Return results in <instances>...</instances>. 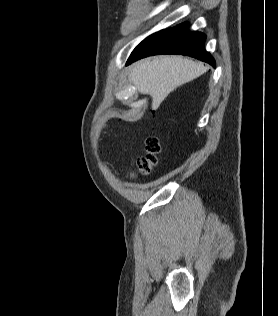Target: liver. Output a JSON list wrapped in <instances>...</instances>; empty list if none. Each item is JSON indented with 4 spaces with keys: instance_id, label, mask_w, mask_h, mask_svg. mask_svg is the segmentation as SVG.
I'll return each instance as SVG.
<instances>
[{
    "instance_id": "liver-1",
    "label": "liver",
    "mask_w": 278,
    "mask_h": 316,
    "mask_svg": "<svg viewBox=\"0 0 278 316\" xmlns=\"http://www.w3.org/2000/svg\"><path fill=\"white\" fill-rule=\"evenodd\" d=\"M207 69L202 63L181 56L148 58L132 66L130 81L141 94L152 97V109L156 110L171 91Z\"/></svg>"
}]
</instances>
